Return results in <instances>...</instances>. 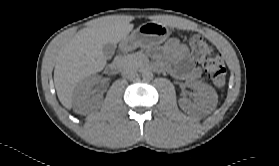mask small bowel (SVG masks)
<instances>
[{"mask_svg": "<svg viewBox=\"0 0 279 166\" xmlns=\"http://www.w3.org/2000/svg\"><path fill=\"white\" fill-rule=\"evenodd\" d=\"M157 56H163L176 64L173 74L184 78H197L200 75V69L194 64L189 50L185 44L177 39L169 40ZM158 69L163 68L162 63L156 64Z\"/></svg>", "mask_w": 279, "mask_h": 166, "instance_id": "small-bowel-1", "label": "small bowel"}]
</instances>
